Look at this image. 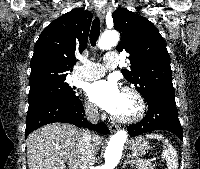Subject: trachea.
Listing matches in <instances>:
<instances>
[{"label":"trachea","instance_id":"3493384b","mask_svg":"<svg viewBox=\"0 0 200 169\" xmlns=\"http://www.w3.org/2000/svg\"><path fill=\"white\" fill-rule=\"evenodd\" d=\"M100 35V21L99 18H95L92 23L90 31V43L94 47Z\"/></svg>","mask_w":200,"mask_h":169}]
</instances>
